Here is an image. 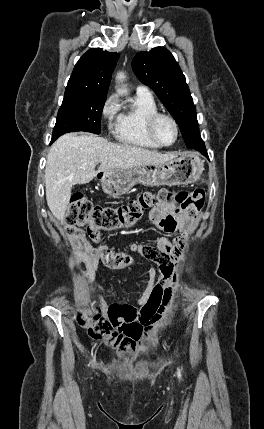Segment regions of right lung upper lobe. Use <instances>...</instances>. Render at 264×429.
I'll return each mask as SVG.
<instances>
[{
	"label": "right lung upper lobe",
	"instance_id": "obj_1",
	"mask_svg": "<svg viewBox=\"0 0 264 429\" xmlns=\"http://www.w3.org/2000/svg\"><path fill=\"white\" fill-rule=\"evenodd\" d=\"M118 53L92 48L76 63L65 95L106 96Z\"/></svg>",
	"mask_w": 264,
	"mask_h": 429
}]
</instances>
